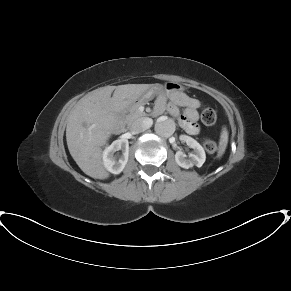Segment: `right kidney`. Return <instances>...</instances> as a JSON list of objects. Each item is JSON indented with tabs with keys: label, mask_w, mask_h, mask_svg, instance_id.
Segmentation results:
<instances>
[{
	"label": "right kidney",
	"mask_w": 291,
	"mask_h": 291,
	"mask_svg": "<svg viewBox=\"0 0 291 291\" xmlns=\"http://www.w3.org/2000/svg\"><path fill=\"white\" fill-rule=\"evenodd\" d=\"M118 150H122L121 155H114ZM129 157V142L125 139L115 140L111 145L107 146L102 154L105 168L113 173L119 174L125 168Z\"/></svg>",
	"instance_id": "ca27d5eb"
}]
</instances>
